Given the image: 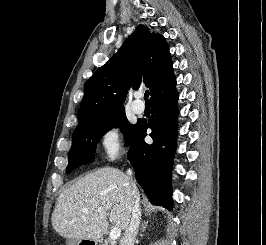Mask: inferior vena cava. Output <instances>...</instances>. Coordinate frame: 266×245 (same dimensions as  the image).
<instances>
[{
  "label": "inferior vena cava",
  "instance_id": "inferior-vena-cava-1",
  "mask_svg": "<svg viewBox=\"0 0 266 245\" xmlns=\"http://www.w3.org/2000/svg\"><path fill=\"white\" fill-rule=\"evenodd\" d=\"M127 175H132L131 169H128ZM129 195L131 197V219L130 225L128 229H126L121 241L120 245H134L135 239L138 233V227L141 219V209H140V195L139 191L131 179L130 187H129Z\"/></svg>",
  "mask_w": 266,
  "mask_h": 245
}]
</instances>
